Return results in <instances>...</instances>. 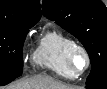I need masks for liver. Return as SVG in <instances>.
Returning <instances> with one entry per match:
<instances>
[{"label":"liver","instance_id":"liver-1","mask_svg":"<svg viewBox=\"0 0 107 89\" xmlns=\"http://www.w3.org/2000/svg\"><path fill=\"white\" fill-rule=\"evenodd\" d=\"M5 89H72V87L49 76L38 75L13 83Z\"/></svg>","mask_w":107,"mask_h":89}]
</instances>
